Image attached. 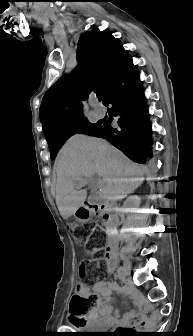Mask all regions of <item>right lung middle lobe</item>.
Returning <instances> with one entry per match:
<instances>
[{
	"label": "right lung middle lobe",
	"instance_id": "dd1d6c3e",
	"mask_svg": "<svg viewBox=\"0 0 193 336\" xmlns=\"http://www.w3.org/2000/svg\"><path fill=\"white\" fill-rule=\"evenodd\" d=\"M102 125V121H98L97 123H90L87 119L82 118L78 120L71 128H69L66 132L61 133L59 135L54 136L48 142V147L51 153V159L53 160L58 150L62 147L65 141L76 133H85V134H92L94 131L100 128Z\"/></svg>",
	"mask_w": 193,
	"mask_h": 336
}]
</instances>
